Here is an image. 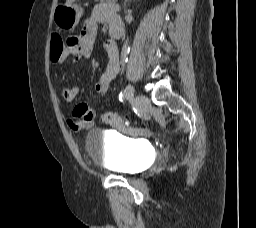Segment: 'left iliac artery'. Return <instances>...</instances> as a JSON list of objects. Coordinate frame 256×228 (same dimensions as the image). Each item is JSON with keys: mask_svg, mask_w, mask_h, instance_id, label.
I'll return each instance as SVG.
<instances>
[{"mask_svg": "<svg viewBox=\"0 0 256 228\" xmlns=\"http://www.w3.org/2000/svg\"><path fill=\"white\" fill-rule=\"evenodd\" d=\"M134 95L133 86L131 84H128L125 88V92L122 93V98L132 99Z\"/></svg>", "mask_w": 256, "mask_h": 228, "instance_id": "obj_1", "label": "left iliac artery"}]
</instances>
